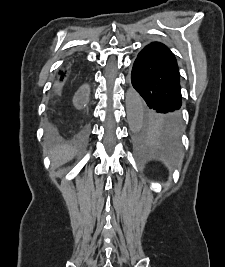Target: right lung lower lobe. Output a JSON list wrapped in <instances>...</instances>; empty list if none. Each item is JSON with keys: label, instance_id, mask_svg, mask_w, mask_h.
Returning <instances> with one entry per match:
<instances>
[{"label": "right lung lower lobe", "instance_id": "1", "mask_svg": "<svg viewBox=\"0 0 225 267\" xmlns=\"http://www.w3.org/2000/svg\"><path fill=\"white\" fill-rule=\"evenodd\" d=\"M87 76V70L80 61H71L70 64L59 71L57 87L62 92L67 87H72Z\"/></svg>", "mask_w": 225, "mask_h": 267}]
</instances>
